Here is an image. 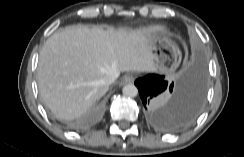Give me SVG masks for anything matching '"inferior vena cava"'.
I'll list each match as a JSON object with an SVG mask.
<instances>
[{
  "label": "inferior vena cava",
  "instance_id": "1",
  "mask_svg": "<svg viewBox=\"0 0 244 157\" xmlns=\"http://www.w3.org/2000/svg\"><path fill=\"white\" fill-rule=\"evenodd\" d=\"M119 77V72L117 71H112L110 73H108L104 79H103V83L107 86L111 85L112 83L115 82V80Z\"/></svg>",
  "mask_w": 244,
  "mask_h": 157
}]
</instances>
